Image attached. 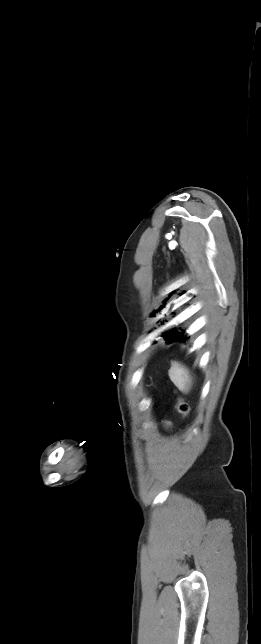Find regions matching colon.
Masks as SVG:
<instances>
[{"label": "colon", "instance_id": "obj_1", "mask_svg": "<svg viewBox=\"0 0 261 644\" xmlns=\"http://www.w3.org/2000/svg\"><path fill=\"white\" fill-rule=\"evenodd\" d=\"M176 409L181 415L186 416L189 412L188 403L184 399L178 398L176 403Z\"/></svg>", "mask_w": 261, "mask_h": 644}]
</instances>
